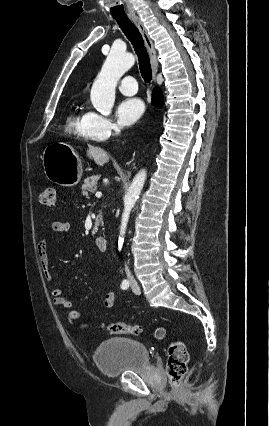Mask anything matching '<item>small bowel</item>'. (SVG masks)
Instances as JSON below:
<instances>
[{
	"mask_svg": "<svg viewBox=\"0 0 269 426\" xmlns=\"http://www.w3.org/2000/svg\"><path fill=\"white\" fill-rule=\"evenodd\" d=\"M51 229H52V232L55 234H64L69 231V224L64 221H55L52 223ZM48 242H49V236H45L39 241L37 245V254H38L39 263L44 272L45 278L51 282L53 281V275L50 271ZM51 295L54 299V303L56 306L64 308V309H70L72 307L71 301L68 300L63 295V292L60 288H53L51 290ZM115 300H116V294L113 291V289L109 287L102 299L103 307L106 309L112 308L115 305ZM69 317L71 320H74L72 313L69 315Z\"/></svg>",
	"mask_w": 269,
	"mask_h": 426,
	"instance_id": "small-bowel-1",
	"label": "small bowel"
}]
</instances>
